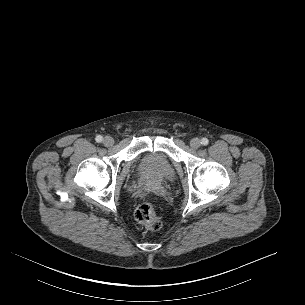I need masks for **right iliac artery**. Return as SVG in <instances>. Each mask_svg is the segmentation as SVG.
Listing matches in <instances>:
<instances>
[{"instance_id":"obj_1","label":"right iliac artery","mask_w":305,"mask_h":305,"mask_svg":"<svg viewBox=\"0 0 305 305\" xmlns=\"http://www.w3.org/2000/svg\"><path fill=\"white\" fill-rule=\"evenodd\" d=\"M95 140H96L97 142H102L103 137H102L101 135H98V136H96Z\"/></svg>"}]
</instances>
